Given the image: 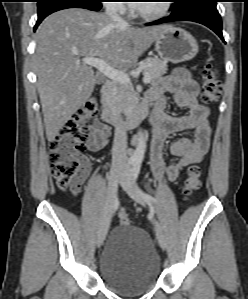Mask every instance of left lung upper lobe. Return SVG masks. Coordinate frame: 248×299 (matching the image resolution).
<instances>
[{"label":"left lung upper lobe","mask_w":248,"mask_h":299,"mask_svg":"<svg viewBox=\"0 0 248 299\" xmlns=\"http://www.w3.org/2000/svg\"><path fill=\"white\" fill-rule=\"evenodd\" d=\"M188 2V0H181V5H184Z\"/></svg>","instance_id":"left-lung-upper-lobe-1"}]
</instances>
